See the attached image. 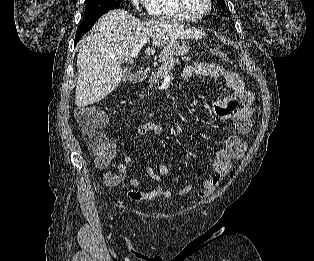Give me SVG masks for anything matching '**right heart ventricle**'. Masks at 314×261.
I'll list each match as a JSON object with an SVG mask.
<instances>
[{
	"mask_svg": "<svg viewBox=\"0 0 314 261\" xmlns=\"http://www.w3.org/2000/svg\"><path fill=\"white\" fill-rule=\"evenodd\" d=\"M146 9L152 17L181 21H191L193 19L181 10L176 0H148Z\"/></svg>",
	"mask_w": 314,
	"mask_h": 261,
	"instance_id": "obj_1",
	"label": "right heart ventricle"
}]
</instances>
